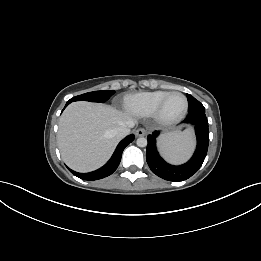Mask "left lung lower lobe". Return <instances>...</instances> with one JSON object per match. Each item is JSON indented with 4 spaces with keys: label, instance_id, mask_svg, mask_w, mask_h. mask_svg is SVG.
Here are the masks:
<instances>
[{
    "label": "left lung lower lobe",
    "instance_id": "1",
    "mask_svg": "<svg viewBox=\"0 0 261 261\" xmlns=\"http://www.w3.org/2000/svg\"><path fill=\"white\" fill-rule=\"evenodd\" d=\"M184 123H190L195 126L197 148L192 158L183 165H170L160 157L156 148V138L159 135V132L155 131L152 135H148L147 138V163L153 173L168 181L177 182L190 178L199 170L207 154L209 129L205 112L189 113L184 119Z\"/></svg>",
    "mask_w": 261,
    "mask_h": 261
}]
</instances>
